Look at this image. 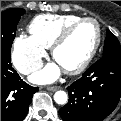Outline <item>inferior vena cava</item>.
I'll list each match as a JSON object with an SVG mask.
<instances>
[{
    "label": "inferior vena cava",
    "instance_id": "inferior-vena-cava-1",
    "mask_svg": "<svg viewBox=\"0 0 121 121\" xmlns=\"http://www.w3.org/2000/svg\"><path fill=\"white\" fill-rule=\"evenodd\" d=\"M35 67L32 66H24L20 69V72L23 74H29L30 72H32L33 70H35Z\"/></svg>",
    "mask_w": 121,
    "mask_h": 121
}]
</instances>
